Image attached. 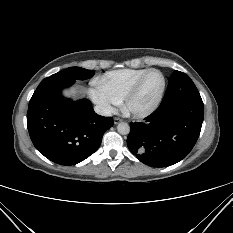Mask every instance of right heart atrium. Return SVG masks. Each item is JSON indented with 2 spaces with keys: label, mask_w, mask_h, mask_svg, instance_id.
Wrapping results in <instances>:
<instances>
[{
  "label": "right heart atrium",
  "mask_w": 233,
  "mask_h": 233,
  "mask_svg": "<svg viewBox=\"0 0 233 233\" xmlns=\"http://www.w3.org/2000/svg\"><path fill=\"white\" fill-rule=\"evenodd\" d=\"M88 94L91 100L97 105L99 110L105 114L112 112L118 101L98 82L89 89Z\"/></svg>",
  "instance_id": "obj_1"
}]
</instances>
